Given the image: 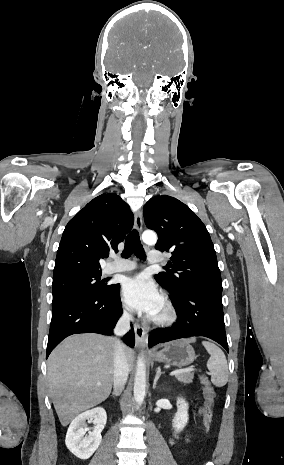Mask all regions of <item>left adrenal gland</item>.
I'll return each instance as SVG.
<instances>
[{
    "instance_id": "obj_1",
    "label": "left adrenal gland",
    "mask_w": 284,
    "mask_h": 465,
    "mask_svg": "<svg viewBox=\"0 0 284 465\" xmlns=\"http://www.w3.org/2000/svg\"><path fill=\"white\" fill-rule=\"evenodd\" d=\"M160 375H162L161 369H160V367H157V369H156V377H155L154 383H153V389H156L157 381H158Z\"/></svg>"
}]
</instances>
